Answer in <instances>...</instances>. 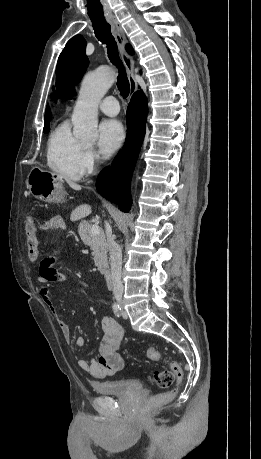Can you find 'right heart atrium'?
I'll return each instance as SVG.
<instances>
[{
    "mask_svg": "<svg viewBox=\"0 0 261 459\" xmlns=\"http://www.w3.org/2000/svg\"><path fill=\"white\" fill-rule=\"evenodd\" d=\"M97 164V156L92 148L84 147L81 158H80V168L82 174L89 173L94 170Z\"/></svg>",
    "mask_w": 261,
    "mask_h": 459,
    "instance_id": "right-heart-atrium-1",
    "label": "right heart atrium"
}]
</instances>
